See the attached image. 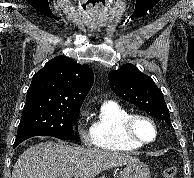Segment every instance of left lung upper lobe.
Segmentation results:
<instances>
[{"label": "left lung upper lobe", "mask_w": 194, "mask_h": 178, "mask_svg": "<svg viewBox=\"0 0 194 178\" xmlns=\"http://www.w3.org/2000/svg\"><path fill=\"white\" fill-rule=\"evenodd\" d=\"M108 78L114 93L171 126L163 93L149 76L128 63L111 71Z\"/></svg>", "instance_id": "left-lung-upper-lobe-1"}]
</instances>
